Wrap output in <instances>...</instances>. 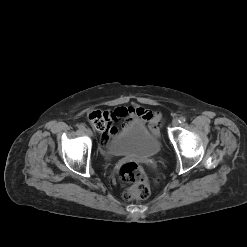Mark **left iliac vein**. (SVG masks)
Segmentation results:
<instances>
[{"mask_svg": "<svg viewBox=\"0 0 247 247\" xmlns=\"http://www.w3.org/2000/svg\"><path fill=\"white\" fill-rule=\"evenodd\" d=\"M178 125H179V120H178V119H174V120L172 121V126L176 127V126H178Z\"/></svg>", "mask_w": 247, "mask_h": 247, "instance_id": "1", "label": "left iliac vein"}]
</instances>
